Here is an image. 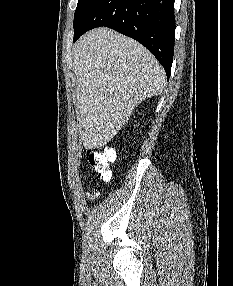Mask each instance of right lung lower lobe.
Instances as JSON below:
<instances>
[{
    "label": "right lung lower lobe",
    "instance_id": "1",
    "mask_svg": "<svg viewBox=\"0 0 233 286\" xmlns=\"http://www.w3.org/2000/svg\"><path fill=\"white\" fill-rule=\"evenodd\" d=\"M175 0H93L74 27V41L90 29L112 28L144 45L170 76L175 41Z\"/></svg>",
    "mask_w": 233,
    "mask_h": 286
}]
</instances>
